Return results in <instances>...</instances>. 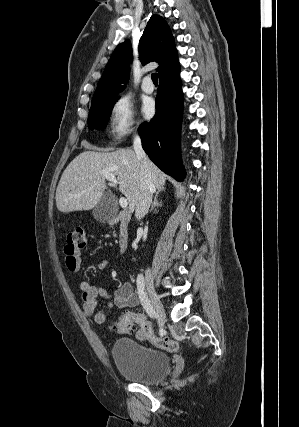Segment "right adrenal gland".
Here are the masks:
<instances>
[{
    "label": "right adrenal gland",
    "instance_id": "obj_1",
    "mask_svg": "<svg viewBox=\"0 0 299 427\" xmlns=\"http://www.w3.org/2000/svg\"><path fill=\"white\" fill-rule=\"evenodd\" d=\"M160 192H161V190L158 189L157 192L155 193L153 203H152L151 208L149 210L150 212L153 211L155 207H161L162 206V201H160V202L158 201V195Z\"/></svg>",
    "mask_w": 299,
    "mask_h": 427
}]
</instances>
